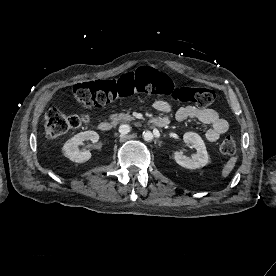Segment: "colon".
<instances>
[{
	"label": "colon",
	"instance_id": "obj_1",
	"mask_svg": "<svg viewBox=\"0 0 276 276\" xmlns=\"http://www.w3.org/2000/svg\"><path fill=\"white\" fill-rule=\"evenodd\" d=\"M135 94L167 96L177 102L193 103L199 107L210 106L215 100L213 90L176 86L166 74L149 66L140 67L116 81L86 82L77 84L74 88L77 102L88 108H101ZM88 121L86 115L64 114L56 108H50L45 114V133L50 139L57 138ZM235 149V139L226 136L220 144L221 153L232 155Z\"/></svg>",
	"mask_w": 276,
	"mask_h": 276
}]
</instances>
